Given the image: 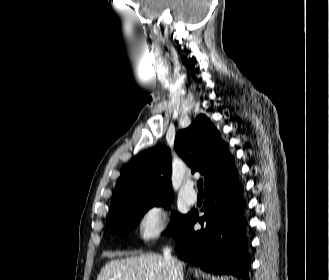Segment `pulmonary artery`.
Listing matches in <instances>:
<instances>
[{
  "label": "pulmonary artery",
  "mask_w": 329,
  "mask_h": 280,
  "mask_svg": "<svg viewBox=\"0 0 329 280\" xmlns=\"http://www.w3.org/2000/svg\"><path fill=\"white\" fill-rule=\"evenodd\" d=\"M181 195H182V198L184 199V201L189 205H192V204L196 203V201H197V193L193 189L192 183L187 184L182 189Z\"/></svg>",
  "instance_id": "e3ab8cb5"
}]
</instances>
